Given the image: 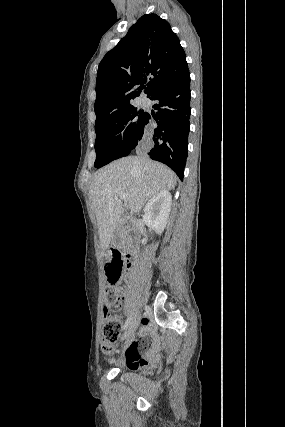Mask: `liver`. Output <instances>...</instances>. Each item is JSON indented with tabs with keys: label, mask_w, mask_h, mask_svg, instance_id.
Here are the masks:
<instances>
[{
	"label": "liver",
	"mask_w": 285,
	"mask_h": 427,
	"mask_svg": "<svg viewBox=\"0 0 285 427\" xmlns=\"http://www.w3.org/2000/svg\"><path fill=\"white\" fill-rule=\"evenodd\" d=\"M176 182L177 177L170 168L144 154L121 158L99 170L90 186V198L103 255L124 212L119 194H125L130 213H137L159 192L174 189Z\"/></svg>",
	"instance_id": "1"
}]
</instances>
